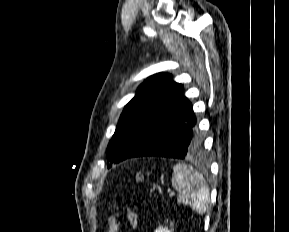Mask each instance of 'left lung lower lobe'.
Returning a JSON list of instances; mask_svg holds the SVG:
<instances>
[{
	"label": "left lung lower lobe",
	"mask_w": 289,
	"mask_h": 232,
	"mask_svg": "<svg viewBox=\"0 0 289 232\" xmlns=\"http://www.w3.org/2000/svg\"><path fill=\"white\" fill-rule=\"evenodd\" d=\"M195 123L192 105L186 100L172 121L164 125L127 158L162 156L183 159L196 154L201 149L203 141Z\"/></svg>",
	"instance_id": "obj_1"
}]
</instances>
